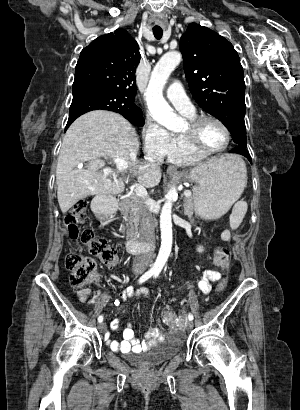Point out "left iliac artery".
Returning <instances> with one entry per match:
<instances>
[{
	"mask_svg": "<svg viewBox=\"0 0 300 410\" xmlns=\"http://www.w3.org/2000/svg\"><path fill=\"white\" fill-rule=\"evenodd\" d=\"M157 276H158V273H155V274H154V277H157ZM188 319L192 321V320H193V315H192V314H189V315H188Z\"/></svg>",
	"mask_w": 300,
	"mask_h": 410,
	"instance_id": "obj_1",
	"label": "left iliac artery"
}]
</instances>
